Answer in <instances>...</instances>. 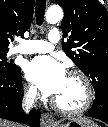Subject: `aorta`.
<instances>
[{"label":"aorta","instance_id":"1","mask_svg":"<svg viewBox=\"0 0 108 127\" xmlns=\"http://www.w3.org/2000/svg\"><path fill=\"white\" fill-rule=\"evenodd\" d=\"M63 18V10L60 6L53 5L48 8L46 13V21L49 24H56Z\"/></svg>","mask_w":108,"mask_h":127}]
</instances>
